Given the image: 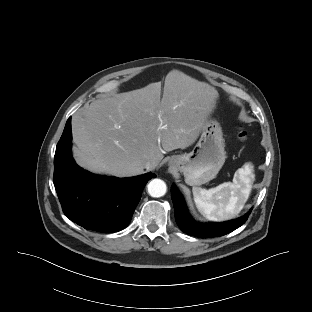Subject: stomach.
Instances as JSON below:
<instances>
[{
	"mask_svg": "<svg viewBox=\"0 0 312 312\" xmlns=\"http://www.w3.org/2000/svg\"><path fill=\"white\" fill-rule=\"evenodd\" d=\"M225 143L220 123L215 119L205 122L201 136L189 153L174 155L169 166L183 173L190 186H200L215 178L225 162Z\"/></svg>",
	"mask_w": 312,
	"mask_h": 312,
	"instance_id": "0dacf381",
	"label": "stomach"
}]
</instances>
